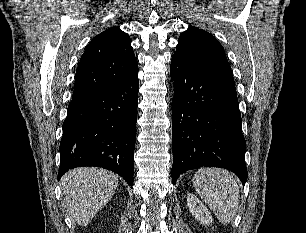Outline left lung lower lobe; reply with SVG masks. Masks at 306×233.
Returning <instances> with one entry per match:
<instances>
[{
    "label": "left lung lower lobe",
    "mask_w": 306,
    "mask_h": 233,
    "mask_svg": "<svg viewBox=\"0 0 306 233\" xmlns=\"http://www.w3.org/2000/svg\"><path fill=\"white\" fill-rule=\"evenodd\" d=\"M172 182L202 166L226 168L244 184L246 141L234 79L225 73L197 68L173 55Z\"/></svg>",
    "instance_id": "1"
}]
</instances>
